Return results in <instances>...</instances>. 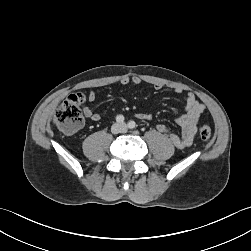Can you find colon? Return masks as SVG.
<instances>
[{
    "instance_id": "colon-1",
    "label": "colon",
    "mask_w": 251,
    "mask_h": 251,
    "mask_svg": "<svg viewBox=\"0 0 251 251\" xmlns=\"http://www.w3.org/2000/svg\"><path fill=\"white\" fill-rule=\"evenodd\" d=\"M85 96L82 93L69 95L58 107L53 115V122L66 133H73L83 126L81 104ZM202 140H209L212 137L211 128L204 125L199 130Z\"/></svg>"
}]
</instances>
